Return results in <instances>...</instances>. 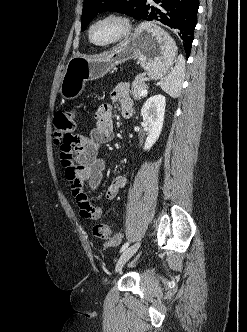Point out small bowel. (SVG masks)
<instances>
[{
  "instance_id": "small-bowel-1",
  "label": "small bowel",
  "mask_w": 247,
  "mask_h": 332,
  "mask_svg": "<svg viewBox=\"0 0 247 332\" xmlns=\"http://www.w3.org/2000/svg\"><path fill=\"white\" fill-rule=\"evenodd\" d=\"M113 104L119 106L122 117L130 118L133 115V102L126 84L116 86L110 93V103L97 109L95 126L87 135H80L74 139L73 145H62L60 148V165L66 185L81 217L89 220H98L102 216V209L92 204L90 194L99 188L106 166L105 159L98 156L99 151L114 135ZM126 181L123 175L115 177L107 187L104 198L114 199Z\"/></svg>"
}]
</instances>
